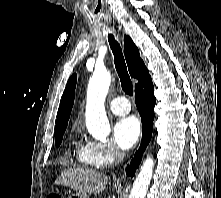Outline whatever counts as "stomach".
<instances>
[{"mask_svg":"<svg viewBox=\"0 0 221 198\" xmlns=\"http://www.w3.org/2000/svg\"><path fill=\"white\" fill-rule=\"evenodd\" d=\"M70 198H89V195L86 193L76 192Z\"/></svg>","mask_w":221,"mask_h":198,"instance_id":"obj_1","label":"stomach"}]
</instances>
